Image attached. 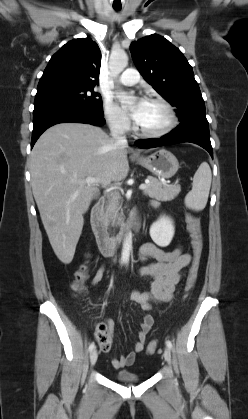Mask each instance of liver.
Segmentation results:
<instances>
[{"instance_id":"liver-1","label":"liver","mask_w":248,"mask_h":419,"mask_svg":"<svg viewBox=\"0 0 248 419\" xmlns=\"http://www.w3.org/2000/svg\"><path fill=\"white\" fill-rule=\"evenodd\" d=\"M127 146H117L101 128L60 123L46 130L30 155L33 196L50 244L64 264L73 260L83 214L100 185L119 182L129 172ZM87 177L99 181L81 183Z\"/></svg>"}]
</instances>
